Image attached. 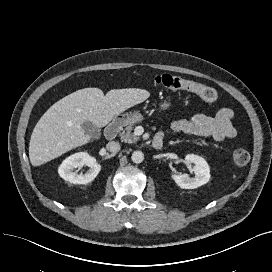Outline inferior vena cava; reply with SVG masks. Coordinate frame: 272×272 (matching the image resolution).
<instances>
[{
  "mask_svg": "<svg viewBox=\"0 0 272 272\" xmlns=\"http://www.w3.org/2000/svg\"><path fill=\"white\" fill-rule=\"evenodd\" d=\"M106 148L108 151H110L112 153H117L120 151L121 146L118 142L110 141L107 143Z\"/></svg>",
  "mask_w": 272,
  "mask_h": 272,
  "instance_id": "1",
  "label": "inferior vena cava"
}]
</instances>
